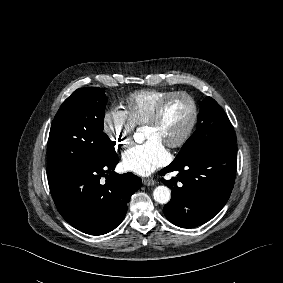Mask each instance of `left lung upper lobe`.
<instances>
[{"mask_svg": "<svg viewBox=\"0 0 283 283\" xmlns=\"http://www.w3.org/2000/svg\"><path fill=\"white\" fill-rule=\"evenodd\" d=\"M232 144H236V136L226 113L213 98L207 97L200 105L196 131L182 146L174 161L198 151Z\"/></svg>", "mask_w": 283, "mask_h": 283, "instance_id": "1", "label": "left lung upper lobe"}]
</instances>
